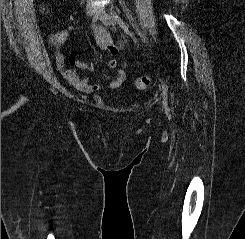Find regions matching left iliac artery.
I'll return each instance as SVG.
<instances>
[{"mask_svg": "<svg viewBox=\"0 0 245 239\" xmlns=\"http://www.w3.org/2000/svg\"><path fill=\"white\" fill-rule=\"evenodd\" d=\"M111 14L114 18V20L117 22V24L124 30V32L129 35L133 41L136 43L137 39L134 36V34L129 30L128 25L124 22V20L115 12L111 9ZM161 81V87L163 89V106L167 109V97H168V87L167 85L162 81Z\"/></svg>", "mask_w": 245, "mask_h": 239, "instance_id": "obj_1", "label": "left iliac artery"}]
</instances>
